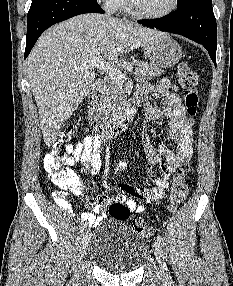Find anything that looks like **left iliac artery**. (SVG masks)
Segmentation results:
<instances>
[{
	"label": "left iliac artery",
	"instance_id": "44dca946",
	"mask_svg": "<svg viewBox=\"0 0 233 286\" xmlns=\"http://www.w3.org/2000/svg\"><path fill=\"white\" fill-rule=\"evenodd\" d=\"M157 240L159 241V243L161 244V246H164V238L160 235V234H158L157 235Z\"/></svg>",
	"mask_w": 233,
	"mask_h": 286
}]
</instances>
